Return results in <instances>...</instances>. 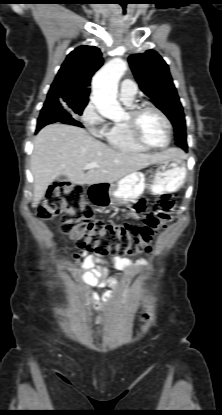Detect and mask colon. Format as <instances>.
<instances>
[{
  "mask_svg": "<svg viewBox=\"0 0 222 415\" xmlns=\"http://www.w3.org/2000/svg\"><path fill=\"white\" fill-rule=\"evenodd\" d=\"M159 207L148 213L141 224L112 225L92 219V210L83 202V188L68 181L53 184L39 208V217L50 220L61 217L63 233L76 245L96 254L136 255L150 249L159 230L171 220L173 203L162 195Z\"/></svg>",
  "mask_w": 222,
  "mask_h": 415,
  "instance_id": "5ec220e1",
  "label": "colon"
}]
</instances>
